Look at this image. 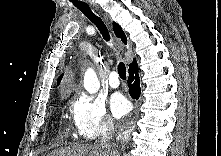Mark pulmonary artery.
I'll use <instances>...</instances> for the list:
<instances>
[{
  "instance_id": "obj_1",
  "label": "pulmonary artery",
  "mask_w": 221,
  "mask_h": 156,
  "mask_svg": "<svg viewBox=\"0 0 221 156\" xmlns=\"http://www.w3.org/2000/svg\"><path fill=\"white\" fill-rule=\"evenodd\" d=\"M109 84L112 88H117L119 87L120 85V81H119V78H118V73L113 71L110 73V76H109Z\"/></svg>"
}]
</instances>
